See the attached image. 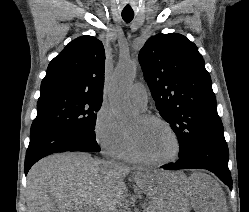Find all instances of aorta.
I'll list each match as a JSON object with an SVG mask.
<instances>
[{"label":"aorta","mask_w":249,"mask_h":212,"mask_svg":"<svg viewBox=\"0 0 249 212\" xmlns=\"http://www.w3.org/2000/svg\"><path fill=\"white\" fill-rule=\"evenodd\" d=\"M137 65L132 60L118 63L108 87V99L117 119L128 121L135 116L130 104L128 92L136 76Z\"/></svg>","instance_id":"1"}]
</instances>
